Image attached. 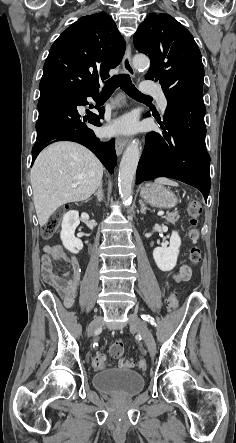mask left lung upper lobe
Masks as SVG:
<instances>
[{
  "label": "left lung upper lobe",
  "mask_w": 236,
  "mask_h": 443,
  "mask_svg": "<svg viewBox=\"0 0 236 443\" xmlns=\"http://www.w3.org/2000/svg\"><path fill=\"white\" fill-rule=\"evenodd\" d=\"M135 48L149 56L146 79L160 82L166 98L203 94L204 68L191 33L169 14L150 13L134 34Z\"/></svg>",
  "instance_id": "left-lung-upper-lobe-1"
}]
</instances>
